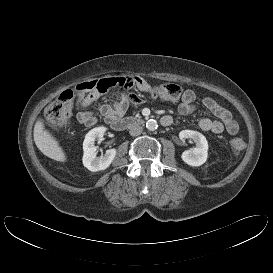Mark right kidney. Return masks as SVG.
Listing matches in <instances>:
<instances>
[{
  "label": "right kidney",
  "mask_w": 273,
  "mask_h": 273,
  "mask_svg": "<svg viewBox=\"0 0 273 273\" xmlns=\"http://www.w3.org/2000/svg\"><path fill=\"white\" fill-rule=\"evenodd\" d=\"M106 131L105 127H96L90 130L84 139L83 142V165L92 172H97L101 170L107 169L110 164L113 162L116 149L107 150L104 156L96 157V146H95V139L101 138L104 136Z\"/></svg>",
  "instance_id": "right-kidney-1"
}]
</instances>
